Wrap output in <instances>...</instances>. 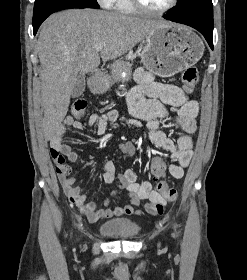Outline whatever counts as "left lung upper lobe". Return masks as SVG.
<instances>
[{
  "label": "left lung upper lobe",
  "instance_id": "5c2ea615",
  "mask_svg": "<svg viewBox=\"0 0 247 280\" xmlns=\"http://www.w3.org/2000/svg\"><path fill=\"white\" fill-rule=\"evenodd\" d=\"M171 12L175 15H213V4L211 0H180Z\"/></svg>",
  "mask_w": 247,
  "mask_h": 280
}]
</instances>
